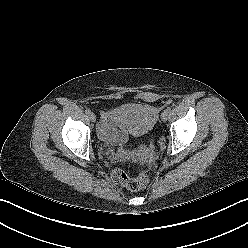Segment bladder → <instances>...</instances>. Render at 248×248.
<instances>
[{
    "label": "bladder",
    "instance_id": "31cf9c89",
    "mask_svg": "<svg viewBox=\"0 0 248 248\" xmlns=\"http://www.w3.org/2000/svg\"><path fill=\"white\" fill-rule=\"evenodd\" d=\"M115 116L119 124L134 136H144L152 131L157 113L149 104L128 103L118 107Z\"/></svg>",
    "mask_w": 248,
    "mask_h": 248
}]
</instances>
